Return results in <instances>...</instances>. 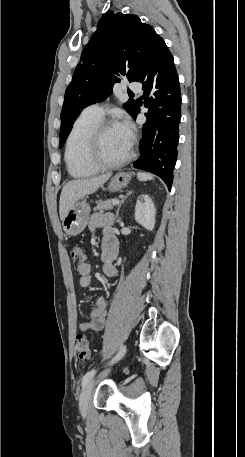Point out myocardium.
I'll return each mask as SVG.
<instances>
[{
	"mask_svg": "<svg viewBox=\"0 0 245 457\" xmlns=\"http://www.w3.org/2000/svg\"><path fill=\"white\" fill-rule=\"evenodd\" d=\"M112 127H114L113 123L100 121L89 130L84 139L83 149L80 153V161L84 166L93 171H99L119 166L131 159L133 153V142L129 143L127 151L119 158L103 160L100 162H96L91 158L90 150L92 145L94 143H99L104 132Z\"/></svg>",
	"mask_w": 245,
	"mask_h": 457,
	"instance_id": "myocardium-1",
	"label": "myocardium"
}]
</instances>
